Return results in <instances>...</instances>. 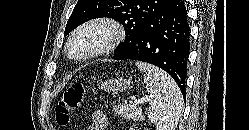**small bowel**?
<instances>
[{
	"instance_id": "c3829d8e",
	"label": "small bowel",
	"mask_w": 249,
	"mask_h": 130,
	"mask_svg": "<svg viewBox=\"0 0 249 130\" xmlns=\"http://www.w3.org/2000/svg\"><path fill=\"white\" fill-rule=\"evenodd\" d=\"M107 126V117L101 111H95L92 114L91 122L87 130H105Z\"/></svg>"
}]
</instances>
